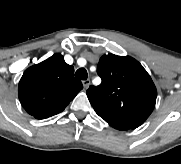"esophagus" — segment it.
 <instances>
[{
    "mask_svg": "<svg viewBox=\"0 0 181 164\" xmlns=\"http://www.w3.org/2000/svg\"><path fill=\"white\" fill-rule=\"evenodd\" d=\"M90 83H91V82H90L89 79L84 80V81H83V86H84V88L87 89V88L89 87Z\"/></svg>",
    "mask_w": 181,
    "mask_h": 164,
    "instance_id": "obj_1",
    "label": "esophagus"
}]
</instances>
